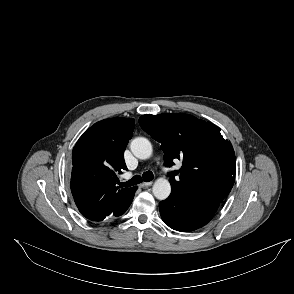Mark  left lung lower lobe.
Returning a JSON list of instances; mask_svg holds the SVG:
<instances>
[{"instance_id":"left-lung-lower-lobe-1","label":"left lung lower lobe","mask_w":294,"mask_h":294,"mask_svg":"<svg viewBox=\"0 0 294 294\" xmlns=\"http://www.w3.org/2000/svg\"><path fill=\"white\" fill-rule=\"evenodd\" d=\"M219 204H207L203 199L171 192L159 203L162 220L172 229L188 232L206 225L214 216Z\"/></svg>"}]
</instances>
